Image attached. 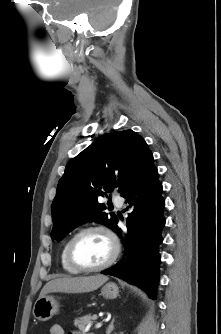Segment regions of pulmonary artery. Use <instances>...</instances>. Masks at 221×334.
Listing matches in <instances>:
<instances>
[{
  "instance_id": "e3ab8cb5",
  "label": "pulmonary artery",
  "mask_w": 221,
  "mask_h": 334,
  "mask_svg": "<svg viewBox=\"0 0 221 334\" xmlns=\"http://www.w3.org/2000/svg\"><path fill=\"white\" fill-rule=\"evenodd\" d=\"M113 202L117 207H122L123 205V200L119 197L113 198Z\"/></svg>"
}]
</instances>
